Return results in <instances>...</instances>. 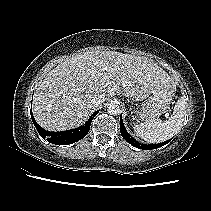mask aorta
Listing matches in <instances>:
<instances>
[{"label":"aorta","mask_w":211,"mask_h":211,"mask_svg":"<svg viewBox=\"0 0 211 211\" xmlns=\"http://www.w3.org/2000/svg\"><path fill=\"white\" fill-rule=\"evenodd\" d=\"M107 110H108V113H110L112 115H118L121 112V107H120V104L118 102L111 101L107 105Z\"/></svg>","instance_id":"obj_1"}]
</instances>
